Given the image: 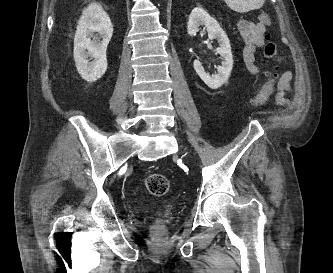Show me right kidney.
Masks as SVG:
<instances>
[{
	"label": "right kidney",
	"mask_w": 333,
	"mask_h": 273,
	"mask_svg": "<svg viewBox=\"0 0 333 273\" xmlns=\"http://www.w3.org/2000/svg\"><path fill=\"white\" fill-rule=\"evenodd\" d=\"M112 34L113 25L102 6L96 2L89 4L78 21L73 52L76 68L86 81L94 82L106 72V49ZM98 35L101 41L96 40Z\"/></svg>",
	"instance_id": "obj_1"
}]
</instances>
